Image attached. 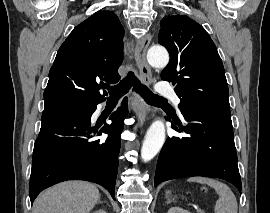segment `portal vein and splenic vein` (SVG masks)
Returning a JSON list of instances; mask_svg holds the SVG:
<instances>
[{
  "label": "portal vein and splenic vein",
  "mask_w": 270,
  "mask_h": 213,
  "mask_svg": "<svg viewBox=\"0 0 270 213\" xmlns=\"http://www.w3.org/2000/svg\"><path fill=\"white\" fill-rule=\"evenodd\" d=\"M198 213H202V211L200 209L197 210Z\"/></svg>",
  "instance_id": "1"
}]
</instances>
